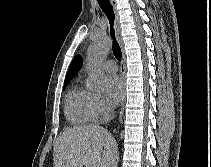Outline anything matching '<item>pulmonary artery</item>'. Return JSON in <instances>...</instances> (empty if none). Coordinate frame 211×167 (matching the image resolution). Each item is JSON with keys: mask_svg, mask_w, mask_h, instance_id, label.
<instances>
[{"mask_svg": "<svg viewBox=\"0 0 211 167\" xmlns=\"http://www.w3.org/2000/svg\"><path fill=\"white\" fill-rule=\"evenodd\" d=\"M104 68L109 73H115L118 69L117 63L114 60H108L104 64Z\"/></svg>", "mask_w": 211, "mask_h": 167, "instance_id": "1", "label": "pulmonary artery"}]
</instances>
